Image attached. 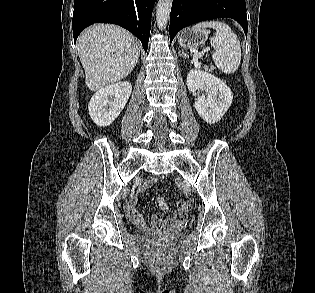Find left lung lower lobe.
Instances as JSON below:
<instances>
[{
    "mask_svg": "<svg viewBox=\"0 0 315 293\" xmlns=\"http://www.w3.org/2000/svg\"><path fill=\"white\" fill-rule=\"evenodd\" d=\"M223 17L236 20L247 35L245 0H173L170 13V41L184 27L203 20Z\"/></svg>",
    "mask_w": 315,
    "mask_h": 293,
    "instance_id": "obj_1",
    "label": "left lung lower lobe"
}]
</instances>
